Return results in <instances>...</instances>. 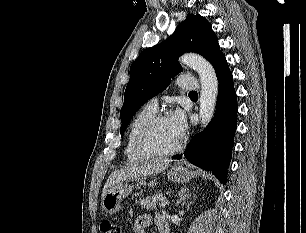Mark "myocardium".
I'll list each match as a JSON object with an SVG mask.
<instances>
[{"mask_svg": "<svg viewBox=\"0 0 306 233\" xmlns=\"http://www.w3.org/2000/svg\"><path fill=\"white\" fill-rule=\"evenodd\" d=\"M165 118H168L166 113H155L140 127L136 135L135 146L137 152L142 156L148 158L169 157L181 150L182 140L174 148L167 151L158 150L151 144L150 137L154 127Z\"/></svg>", "mask_w": 306, "mask_h": 233, "instance_id": "myocardium-1", "label": "myocardium"}]
</instances>
